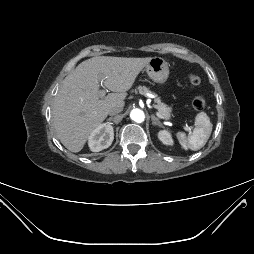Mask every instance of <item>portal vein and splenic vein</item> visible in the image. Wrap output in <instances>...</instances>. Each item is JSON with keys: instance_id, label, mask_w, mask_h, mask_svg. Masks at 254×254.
I'll use <instances>...</instances> for the list:
<instances>
[{"instance_id": "portal-vein-and-splenic-vein-1", "label": "portal vein and splenic vein", "mask_w": 254, "mask_h": 254, "mask_svg": "<svg viewBox=\"0 0 254 254\" xmlns=\"http://www.w3.org/2000/svg\"><path fill=\"white\" fill-rule=\"evenodd\" d=\"M99 79L101 80V83H103V81L106 79V77L100 76ZM106 91H107V90H106L105 88H104V90L99 91V97H100V98H103V97L105 96V94H106ZM156 115H157L159 118H161V119H166V118H165L162 114H160L159 112H157ZM166 120H167V119H166ZM186 130L189 131V132H191V127L186 126Z\"/></svg>"}]
</instances>
